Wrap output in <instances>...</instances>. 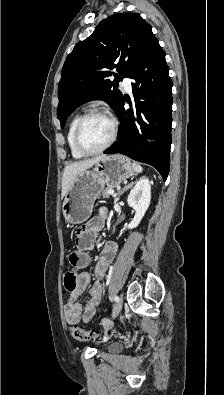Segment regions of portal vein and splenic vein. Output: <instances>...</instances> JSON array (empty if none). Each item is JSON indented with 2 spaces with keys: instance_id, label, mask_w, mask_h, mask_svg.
I'll list each match as a JSON object with an SVG mask.
<instances>
[{
  "instance_id": "1",
  "label": "portal vein and splenic vein",
  "mask_w": 224,
  "mask_h": 395,
  "mask_svg": "<svg viewBox=\"0 0 224 395\" xmlns=\"http://www.w3.org/2000/svg\"><path fill=\"white\" fill-rule=\"evenodd\" d=\"M108 194L109 195H114V190H112V189L108 190Z\"/></svg>"
}]
</instances>
